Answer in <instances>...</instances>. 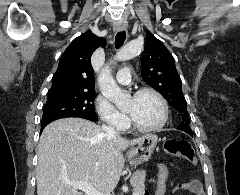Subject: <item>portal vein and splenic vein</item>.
<instances>
[{
	"label": "portal vein and splenic vein",
	"mask_w": 240,
	"mask_h": 195,
	"mask_svg": "<svg viewBox=\"0 0 240 195\" xmlns=\"http://www.w3.org/2000/svg\"><path fill=\"white\" fill-rule=\"evenodd\" d=\"M68 185H71L73 189H82L85 191L86 195H106V193H101V191H97L91 183L88 181H66ZM133 195H137V193H133Z\"/></svg>",
	"instance_id": "portal-vein-and-splenic-vein-1"
}]
</instances>
